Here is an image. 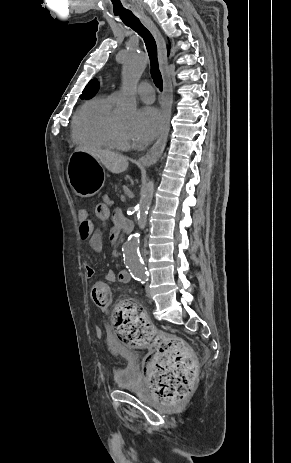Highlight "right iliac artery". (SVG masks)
Returning a JSON list of instances; mask_svg holds the SVG:
<instances>
[{
	"mask_svg": "<svg viewBox=\"0 0 291 463\" xmlns=\"http://www.w3.org/2000/svg\"><path fill=\"white\" fill-rule=\"evenodd\" d=\"M144 278H145V280H148V278H146V277H144Z\"/></svg>",
	"mask_w": 291,
	"mask_h": 463,
	"instance_id": "obj_1",
	"label": "right iliac artery"
}]
</instances>
